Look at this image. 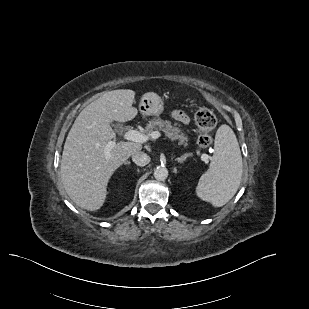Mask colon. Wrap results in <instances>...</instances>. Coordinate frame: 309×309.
<instances>
[{
  "mask_svg": "<svg viewBox=\"0 0 309 309\" xmlns=\"http://www.w3.org/2000/svg\"><path fill=\"white\" fill-rule=\"evenodd\" d=\"M194 119L200 130L197 143L200 147L206 148L212 143L211 133L216 127L217 118L211 110L201 107L196 111Z\"/></svg>",
  "mask_w": 309,
  "mask_h": 309,
  "instance_id": "obj_1",
  "label": "colon"
}]
</instances>
